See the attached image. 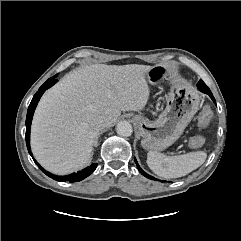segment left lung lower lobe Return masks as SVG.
Instances as JSON below:
<instances>
[{
  "mask_svg": "<svg viewBox=\"0 0 241 241\" xmlns=\"http://www.w3.org/2000/svg\"><path fill=\"white\" fill-rule=\"evenodd\" d=\"M197 87H198V89H199L201 92L208 94V95L211 97V99L213 100V102L215 103V99H214V97H213L210 89L205 85V83H204L202 80H200V81L198 82ZM135 162H136L137 168H138V170L141 172V174H143L145 177H147V178H149V179L157 180V179H155L154 177H152V176L148 175L147 173H145V172L140 168V166L138 165V163H137L136 160H135ZM162 182H164V181H162Z\"/></svg>",
  "mask_w": 241,
  "mask_h": 241,
  "instance_id": "obj_1",
  "label": "left lung lower lobe"
}]
</instances>
